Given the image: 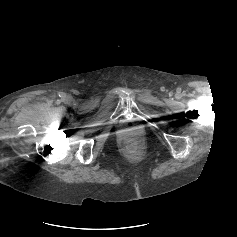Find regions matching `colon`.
<instances>
[{"label":"colon","instance_id":"1","mask_svg":"<svg viewBox=\"0 0 237 237\" xmlns=\"http://www.w3.org/2000/svg\"><path fill=\"white\" fill-rule=\"evenodd\" d=\"M125 150L131 154H137L142 150V142L137 136H130L124 141Z\"/></svg>","mask_w":237,"mask_h":237}]
</instances>
